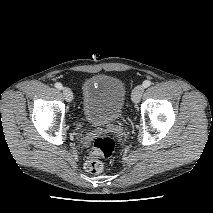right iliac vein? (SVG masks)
<instances>
[{"label":"right iliac vein","mask_w":213,"mask_h":213,"mask_svg":"<svg viewBox=\"0 0 213 213\" xmlns=\"http://www.w3.org/2000/svg\"><path fill=\"white\" fill-rule=\"evenodd\" d=\"M62 92H63L64 98L67 102H71L73 100V93L70 88L64 87L62 89Z\"/></svg>","instance_id":"right-iliac-vein-1"}]
</instances>
